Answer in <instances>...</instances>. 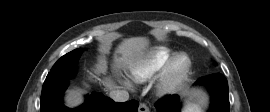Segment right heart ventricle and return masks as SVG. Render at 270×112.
Returning <instances> with one entry per match:
<instances>
[{
	"label": "right heart ventricle",
	"mask_w": 270,
	"mask_h": 112,
	"mask_svg": "<svg viewBox=\"0 0 270 112\" xmlns=\"http://www.w3.org/2000/svg\"><path fill=\"white\" fill-rule=\"evenodd\" d=\"M174 54L171 48L157 46L149 50L131 68V77L136 82H144L156 75Z\"/></svg>",
	"instance_id": "e07e8e85"
}]
</instances>
